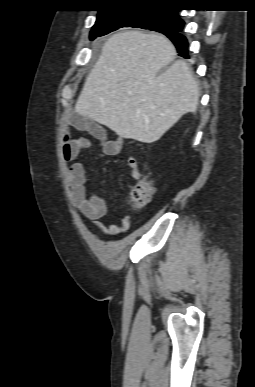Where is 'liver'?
<instances>
[{
    "mask_svg": "<svg viewBox=\"0 0 255 387\" xmlns=\"http://www.w3.org/2000/svg\"><path fill=\"white\" fill-rule=\"evenodd\" d=\"M164 35L119 32L107 39L75 104V112L120 137L159 140L196 111L199 88L188 64ZM170 65V66H169Z\"/></svg>",
    "mask_w": 255,
    "mask_h": 387,
    "instance_id": "obj_1",
    "label": "liver"
}]
</instances>
